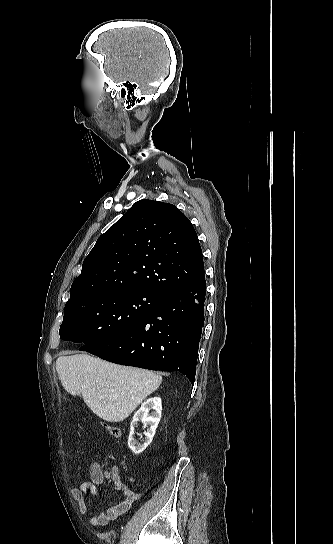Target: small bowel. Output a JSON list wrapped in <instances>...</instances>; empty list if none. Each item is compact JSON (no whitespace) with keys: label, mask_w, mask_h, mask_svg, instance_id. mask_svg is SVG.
<instances>
[{"label":"small bowel","mask_w":333,"mask_h":544,"mask_svg":"<svg viewBox=\"0 0 333 544\" xmlns=\"http://www.w3.org/2000/svg\"><path fill=\"white\" fill-rule=\"evenodd\" d=\"M91 482L82 483L78 487L71 488V494L78 504L81 514H86L88 505L85 500V495L90 492L92 495H97V486L103 482L102 465L95 461L89 467ZM113 489L123 494L124 499L115 505L108 507L106 510L94 512L89 521L94 526H106L111 521H116L121 515L126 514L133 504L140 499V494L135 492L129 485L124 484L120 477L117 468H114L111 473Z\"/></svg>","instance_id":"obj_1"}]
</instances>
